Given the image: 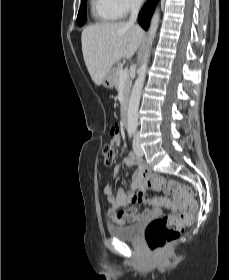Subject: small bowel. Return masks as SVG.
<instances>
[{
	"label": "small bowel",
	"instance_id": "obj_1",
	"mask_svg": "<svg viewBox=\"0 0 229 280\" xmlns=\"http://www.w3.org/2000/svg\"><path fill=\"white\" fill-rule=\"evenodd\" d=\"M110 141L113 145H118L121 141L120 134H113ZM123 166L135 167L129 189L126 191L120 190L115 195L113 194L112 188L110 186H106L104 190L111 204V207L107 210V215L111 222L118 225H127L142 218H150L152 216L158 215L161 213L163 208H174V203L165 196L149 197L147 195L149 185L143 177L145 175H150V173L145 169L144 162L140 157L133 153L128 154L122 160L120 166L116 169L115 177L119 176L120 169ZM139 191L142 193L141 203L151 206V208L146 209L143 212H139L135 203L132 201V198ZM127 206L129 207L126 210L118 211V209L125 208Z\"/></svg>",
	"mask_w": 229,
	"mask_h": 280
}]
</instances>
